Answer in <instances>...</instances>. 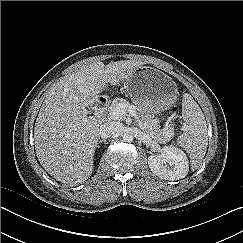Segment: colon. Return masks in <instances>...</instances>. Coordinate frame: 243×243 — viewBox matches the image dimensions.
<instances>
[{"label":"colon","instance_id":"5ec220e1","mask_svg":"<svg viewBox=\"0 0 243 243\" xmlns=\"http://www.w3.org/2000/svg\"><path fill=\"white\" fill-rule=\"evenodd\" d=\"M171 114L173 117H176L177 114H178V108L177 107H174L172 110H171Z\"/></svg>","mask_w":243,"mask_h":243}]
</instances>
